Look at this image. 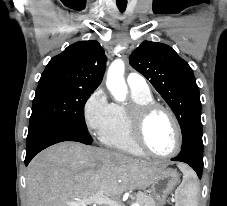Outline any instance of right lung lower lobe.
Returning a JSON list of instances; mask_svg holds the SVG:
<instances>
[{"label":"right lung lower lobe","instance_id":"98d812e1","mask_svg":"<svg viewBox=\"0 0 227 206\" xmlns=\"http://www.w3.org/2000/svg\"><path fill=\"white\" fill-rule=\"evenodd\" d=\"M62 141L92 144V141L75 130L59 126H45L34 133L28 134L25 165L27 166L31 159L43 149Z\"/></svg>","mask_w":227,"mask_h":206}]
</instances>
